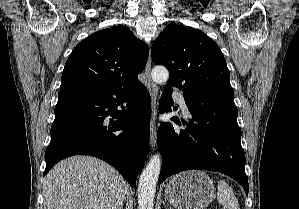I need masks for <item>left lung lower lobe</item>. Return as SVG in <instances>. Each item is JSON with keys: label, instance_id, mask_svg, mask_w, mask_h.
Here are the masks:
<instances>
[{"label": "left lung lower lobe", "instance_id": "1", "mask_svg": "<svg viewBox=\"0 0 299 209\" xmlns=\"http://www.w3.org/2000/svg\"><path fill=\"white\" fill-rule=\"evenodd\" d=\"M171 91L172 87H165L160 112L171 111ZM183 96L192 115L186 123L188 128L177 129L171 123H161L157 132L163 156L159 182L184 170L205 169L232 177L248 195L246 160L234 96L210 93H183ZM172 120L181 124L177 117Z\"/></svg>", "mask_w": 299, "mask_h": 209}]
</instances>
